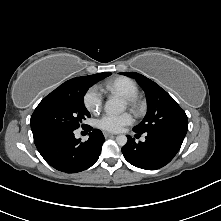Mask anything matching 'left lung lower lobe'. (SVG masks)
I'll return each instance as SVG.
<instances>
[{
    "instance_id": "left-lung-lower-lobe-1",
    "label": "left lung lower lobe",
    "mask_w": 221,
    "mask_h": 221,
    "mask_svg": "<svg viewBox=\"0 0 221 221\" xmlns=\"http://www.w3.org/2000/svg\"><path fill=\"white\" fill-rule=\"evenodd\" d=\"M145 138V142L136 143L134 139L128 136V142L123 146L122 153L133 166L146 170H156L174 158L185 135L176 132H153L147 133Z\"/></svg>"
}]
</instances>
